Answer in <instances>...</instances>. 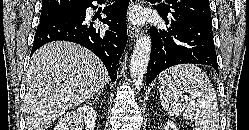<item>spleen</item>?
<instances>
[{"instance_id": "spleen-1", "label": "spleen", "mask_w": 249, "mask_h": 130, "mask_svg": "<svg viewBox=\"0 0 249 130\" xmlns=\"http://www.w3.org/2000/svg\"><path fill=\"white\" fill-rule=\"evenodd\" d=\"M159 80L161 105L169 115L183 114L185 119L195 120L196 130H218L216 93L201 68L193 64L176 65L163 71Z\"/></svg>"}]
</instances>
